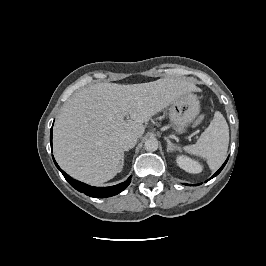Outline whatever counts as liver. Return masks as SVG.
<instances>
[{"label": "liver", "mask_w": 266, "mask_h": 266, "mask_svg": "<svg viewBox=\"0 0 266 266\" xmlns=\"http://www.w3.org/2000/svg\"><path fill=\"white\" fill-rule=\"evenodd\" d=\"M189 80L162 78L121 85L98 83L73 94L53 130L55 158L71 177L100 185L120 172L125 134L140 138L143 123L181 96L197 91ZM130 119L125 120V117Z\"/></svg>", "instance_id": "1"}]
</instances>
